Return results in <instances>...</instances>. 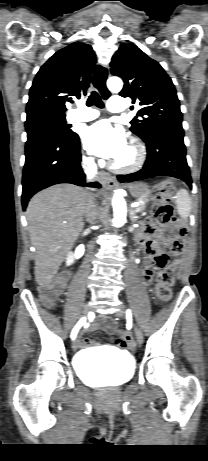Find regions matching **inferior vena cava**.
<instances>
[{
	"mask_svg": "<svg viewBox=\"0 0 208 461\" xmlns=\"http://www.w3.org/2000/svg\"><path fill=\"white\" fill-rule=\"evenodd\" d=\"M82 166L87 176L88 181H92L97 174V166L94 162L92 157L83 158ZM93 194H90L88 197V214H87V221L90 223H94L98 216V211L96 204L93 200Z\"/></svg>",
	"mask_w": 208,
	"mask_h": 461,
	"instance_id": "inferior-vena-cava-1",
	"label": "inferior vena cava"
}]
</instances>
